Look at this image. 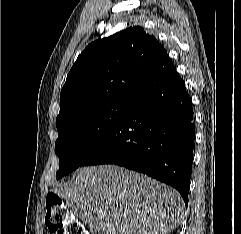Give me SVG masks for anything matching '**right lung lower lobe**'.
<instances>
[{"instance_id":"98d812e1","label":"right lung lower lobe","mask_w":241,"mask_h":234,"mask_svg":"<svg viewBox=\"0 0 241 234\" xmlns=\"http://www.w3.org/2000/svg\"><path fill=\"white\" fill-rule=\"evenodd\" d=\"M195 126L175 67L133 101L123 120L82 166L116 164L176 188L188 204Z\"/></svg>"}]
</instances>
